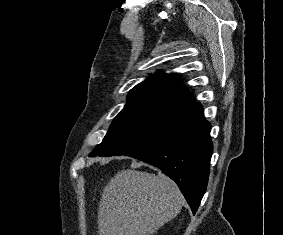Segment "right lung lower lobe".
Returning <instances> with one entry per match:
<instances>
[{
    "label": "right lung lower lobe",
    "instance_id": "obj_1",
    "mask_svg": "<svg viewBox=\"0 0 283 235\" xmlns=\"http://www.w3.org/2000/svg\"><path fill=\"white\" fill-rule=\"evenodd\" d=\"M213 145L199 102L167 133L125 155L159 167L179 186L195 214L206 191Z\"/></svg>",
    "mask_w": 283,
    "mask_h": 235
}]
</instances>
